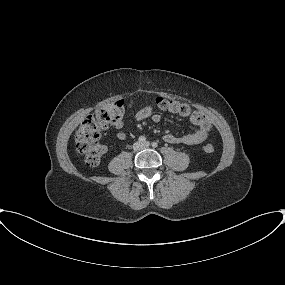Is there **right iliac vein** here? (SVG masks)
I'll use <instances>...</instances> for the list:
<instances>
[{
    "instance_id": "63e3f726",
    "label": "right iliac vein",
    "mask_w": 285,
    "mask_h": 285,
    "mask_svg": "<svg viewBox=\"0 0 285 285\" xmlns=\"http://www.w3.org/2000/svg\"><path fill=\"white\" fill-rule=\"evenodd\" d=\"M133 148L134 150L139 151L143 148V146L141 145V143H135Z\"/></svg>"
}]
</instances>
